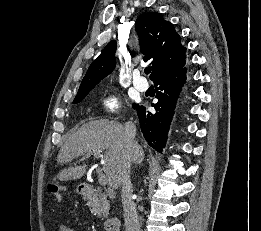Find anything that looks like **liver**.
Masks as SVG:
<instances>
[{
	"label": "liver",
	"mask_w": 261,
	"mask_h": 231,
	"mask_svg": "<svg viewBox=\"0 0 261 231\" xmlns=\"http://www.w3.org/2000/svg\"><path fill=\"white\" fill-rule=\"evenodd\" d=\"M104 150L106 154L103 158V171L109 186L117 189L122 184L124 170L133 162L125 141V129L120 123L103 119L82 125L65 141L56 161L57 164L63 165L84 154ZM143 156L134 163H141ZM86 167L84 164L65 168L59 172L58 178L61 181L80 179L84 176Z\"/></svg>",
	"instance_id": "6515ba94"
}]
</instances>
